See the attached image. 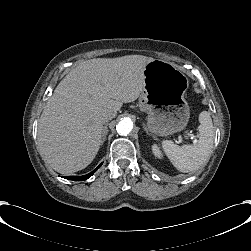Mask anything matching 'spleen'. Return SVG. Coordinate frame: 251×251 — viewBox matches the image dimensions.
<instances>
[{"label":"spleen","mask_w":251,"mask_h":251,"mask_svg":"<svg viewBox=\"0 0 251 251\" xmlns=\"http://www.w3.org/2000/svg\"><path fill=\"white\" fill-rule=\"evenodd\" d=\"M199 140L194 144L178 146L172 141H164L163 148L175 166L184 173L199 169L211 154L214 126L208 111L199 114Z\"/></svg>","instance_id":"1"}]
</instances>
